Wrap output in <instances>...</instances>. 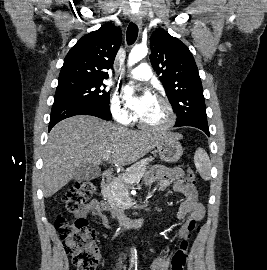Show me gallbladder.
Returning a JSON list of instances; mask_svg holds the SVG:
<instances>
[{
	"instance_id": "gallbladder-1",
	"label": "gallbladder",
	"mask_w": 267,
	"mask_h": 270,
	"mask_svg": "<svg viewBox=\"0 0 267 270\" xmlns=\"http://www.w3.org/2000/svg\"><path fill=\"white\" fill-rule=\"evenodd\" d=\"M101 176V169L92 164H82L75 169L74 180L89 181Z\"/></svg>"
}]
</instances>
